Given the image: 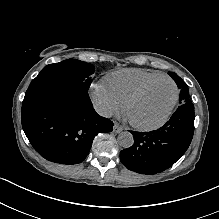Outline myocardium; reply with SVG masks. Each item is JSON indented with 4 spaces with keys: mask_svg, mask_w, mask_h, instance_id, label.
<instances>
[{
    "mask_svg": "<svg viewBox=\"0 0 219 219\" xmlns=\"http://www.w3.org/2000/svg\"><path fill=\"white\" fill-rule=\"evenodd\" d=\"M169 81L173 84L174 86V97L170 103V105L167 107V109L165 110L164 114L162 115V117L153 123H140L137 122L135 120H133V118L131 117L130 111L131 108L133 107V105L139 101L154 85H156L158 82L160 81ZM178 97H179V89L177 84L175 83L174 80H172L171 78L167 77V76H163L160 78H157L151 82H149L148 84L144 85L141 89H139L136 93H134L129 100L126 102L125 104V115L127 116L130 124L140 130H153L156 129L160 126H162L170 117L177 101H178Z\"/></svg>",
    "mask_w": 219,
    "mask_h": 219,
    "instance_id": "f54148a6",
    "label": "myocardium"
}]
</instances>
